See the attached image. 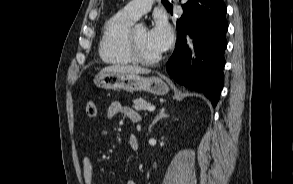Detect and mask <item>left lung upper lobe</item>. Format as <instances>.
Here are the masks:
<instances>
[{"instance_id": "left-lung-upper-lobe-1", "label": "left lung upper lobe", "mask_w": 293, "mask_h": 184, "mask_svg": "<svg viewBox=\"0 0 293 184\" xmlns=\"http://www.w3.org/2000/svg\"><path fill=\"white\" fill-rule=\"evenodd\" d=\"M163 4L166 6L167 9L169 8V5L165 0L163 1Z\"/></svg>"}]
</instances>
